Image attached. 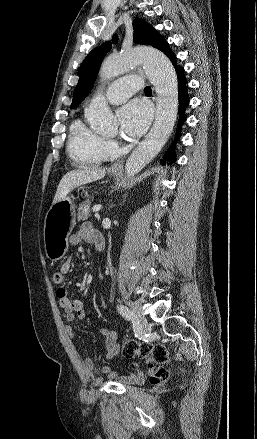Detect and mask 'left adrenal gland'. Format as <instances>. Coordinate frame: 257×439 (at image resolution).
<instances>
[{
	"mask_svg": "<svg viewBox=\"0 0 257 439\" xmlns=\"http://www.w3.org/2000/svg\"><path fill=\"white\" fill-rule=\"evenodd\" d=\"M113 206H114V205L110 206V208H112ZM110 208H109V209H110Z\"/></svg>",
	"mask_w": 257,
	"mask_h": 439,
	"instance_id": "obj_1",
	"label": "left adrenal gland"
}]
</instances>
